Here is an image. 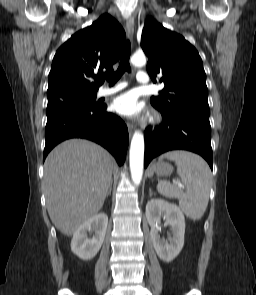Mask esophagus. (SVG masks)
<instances>
[{
  "instance_id": "esophagus-1",
  "label": "esophagus",
  "mask_w": 256,
  "mask_h": 295,
  "mask_svg": "<svg viewBox=\"0 0 256 295\" xmlns=\"http://www.w3.org/2000/svg\"><path fill=\"white\" fill-rule=\"evenodd\" d=\"M126 32H127L129 39L132 40L133 34H134V18H133V16H129L126 21ZM127 127H128L129 134L132 135V133L134 131V125L131 123H128Z\"/></svg>"
}]
</instances>
